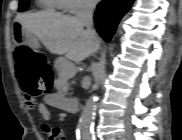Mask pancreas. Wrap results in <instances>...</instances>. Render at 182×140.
Here are the masks:
<instances>
[{
    "instance_id": "pancreas-1",
    "label": "pancreas",
    "mask_w": 182,
    "mask_h": 140,
    "mask_svg": "<svg viewBox=\"0 0 182 140\" xmlns=\"http://www.w3.org/2000/svg\"><path fill=\"white\" fill-rule=\"evenodd\" d=\"M54 67L58 72L59 78H65V83L62 86L59 94L61 96L66 95V92L69 88L68 80L71 79L76 74V67L73 63L69 62L65 58H60L55 61Z\"/></svg>"
}]
</instances>
